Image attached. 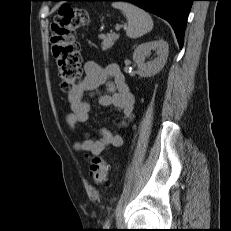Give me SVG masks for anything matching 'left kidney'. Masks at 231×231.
Instances as JSON below:
<instances>
[{"label":"left kidney","instance_id":"left-kidney-1","mask_svg":"<svg viewBox=\"0 0 231 231\" xmlns=\"http://www.w3.org/2000/svg\"><path fill=\"white\" fill-rule=\"evenodd\" d=\"M168 43L164 40L150 41L139 45L133 53V60L137 64L138 74L142 77H151L164 67L168 57ZM155 50L158 57L145 63V57Z\"/></svg>","mask_w":231,"mask_h":231}]
</instances>
